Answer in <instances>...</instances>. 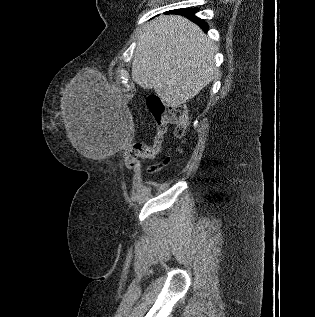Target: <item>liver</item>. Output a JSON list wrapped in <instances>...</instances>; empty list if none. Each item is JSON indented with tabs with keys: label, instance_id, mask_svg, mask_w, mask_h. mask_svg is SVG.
Segmentation results:
<instances>
[{
	"label": "liver",
	"instance_id": "6515ba94",
	"mask_svg": "<svg viewBox=\"0 0 315 317\" xmlns=\"http://www.w3.org/2000/svg\"><path fill=\"white\" fill-rule=\"evenodd\" d=\"M216 52V45L193 22L177 15L160 16L145 25L138 38L132 80L178 107L212 80ZM69 100L64 113L67 137L78 152L89 156L81 114Z\"/></svg>",
	"mask_w": 315,
	"mask_h": 317
}]
</instances>
